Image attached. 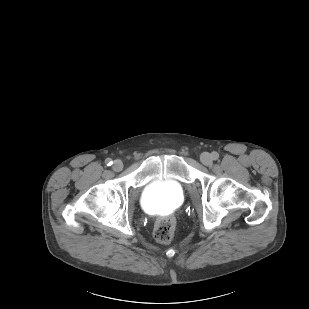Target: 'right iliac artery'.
<instances>
[{"mask_svg": "<svg viewBox=\"0 0 309 309\" xmlns=\"http://www.w3.org/2000/svg\"><path fill=\"white\" fill-rule=\"evenodd\" d=\"M105 163L107 164V166H111L113 162L111 159H106Z\"/></svg>", "mask_w": 309, "mask_h": 309, "instance_id": "1", "label": "right iliac artery"}]
</instances>
